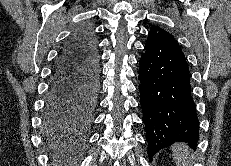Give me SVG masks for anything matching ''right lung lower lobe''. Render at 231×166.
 Instances as JSON below:
<instances>
[{"label": "right lung lower lobe", "mask_w": 231, "mask_h": 166, "mask_svg": "<svg viewBox=\"0 0 231 166\" xmlns=\"http://www.w3.org/2000/svg\"><path fill=\"white\" fill-rule=\"evenodd\" d=\"M98 94L96 39L90 29L73 33L52 72L43 114L49 136H70L90 124Z\"/></svg>", "instance_id": "obj_1"}]
</instances>
